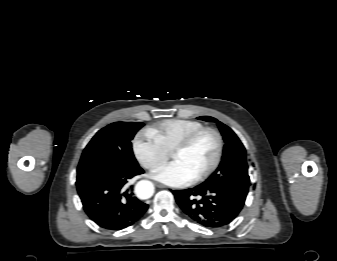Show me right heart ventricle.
<instances>
[{
  "instance_id": "obj_1",
  "label": "right heart ventricle",
  "mask_w": 337,
  "mask_h": 261,
  "mask_svg": "<svg viewBox=\"0 0 337 261\" xmlns=\"http://www.w3.org/2000/svg\"><path fill=\"white\" fill-rule=\"evenodd\" d=\"M203 127L202 123L194 120L168 119L151 127L149 132L170 153L187 135Z\"/></svg>"
}]
</instances>
